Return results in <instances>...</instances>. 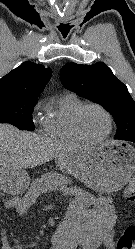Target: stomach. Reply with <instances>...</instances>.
I'll use <instances>...</instances> for the list:
<instances>
[{"mask_svg": "<svg viewBox=\"0 0 135 249\" xmlns=\"http://www.w3.org/2000/svg\"><path fill=\"white\" fill-rule=\"evenodd\" d=\"M57 164L92 190L112 193L120 190L135 171V148L127 143L107 142L60 157ZM48 179L52 184L60 182L52 174ZM6 181L21 191L29 183V176L23 170H7Z\"/></svg>", "mask_w": 135, "mask_h": 249, "instance_id": "1", "label": "stomach"}]
</instances>
